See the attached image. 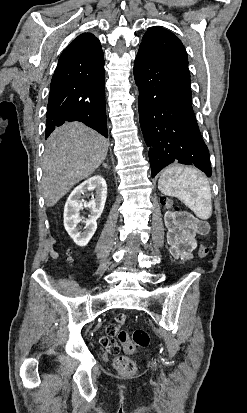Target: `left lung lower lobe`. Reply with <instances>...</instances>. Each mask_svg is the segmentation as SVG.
Wrapping results in <instances>:
<instances>
[{
	"label": "left lung lower lobe",
	"instance_id": "1",
	"mask_svg": "<svg viewBox=\"0 0 247 413\" xmlns=\"http://www.w3.org/2000/svg\"><path fill=\"white\" fill-rule=\"evenodd\" d=\"M134 77L152 177L171 163L193 164L210 177L209 151L192 109L190 75L139 50Z\"/></svg>",
	"mask_w": 247,
	"mask_h": 413
}]
</instances>
